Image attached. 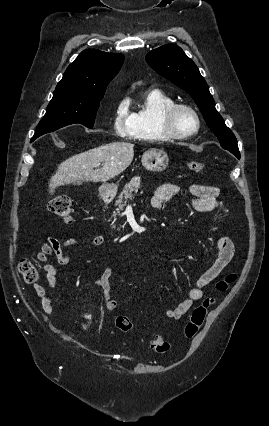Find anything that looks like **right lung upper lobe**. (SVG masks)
Instances as JSON below:
<instances>
[{
	"label": "right lung upper lobe",
	"instance_id": "1",
	"mask_svg": "<svg viewBox=\"0 0 269 426\" xmlns=\"http://www.w3.org/2000/svg\"><path fill=\"white\" fill-rule=\"evenodd\" d=\"M123 61L122 54L86 49L66 69L54 94L72 99L104 96L106 86L119 72Z\"/></svg>",
	"mask_w": 269,
	"mask_h": 426
}]
</instances>
